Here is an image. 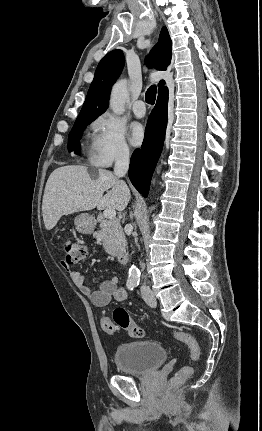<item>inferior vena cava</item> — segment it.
Segmentation results:
<instances>
[{
  "mask_svg": "<svg viewBox=\"0 0 262 431\" xmlns=\"http://www.w3.org/2000/svg\"><path fill=\"white\" fill-rule=\"evenodd\" d=\"M128 167H129V150L127 148H122L120 149V151L117 153L115 157L114 174L117 177H123L127 173ZM141 290L147 291L148 287L144 284L141 287Z\"/></svg>",
  "mask_w": 262,
  "mask_h": 431,
  "instance_id": "inferior-vena-cava-1",
  "label": "inferior vena cava"
}]
</instances>
